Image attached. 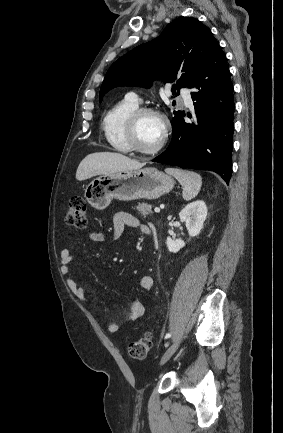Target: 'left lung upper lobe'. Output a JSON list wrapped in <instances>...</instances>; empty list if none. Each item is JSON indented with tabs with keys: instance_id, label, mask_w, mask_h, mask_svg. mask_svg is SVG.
<instances>
[{
	"instance_id": "5c2ea615",
	"label": "left lung upper lobe",
	"mask_w": 283,
	"mask_h": 433,
	"mask_svg": "<svg viewBox=\"0 0 283 433\" xmlns=\"http://www.w3.org/2000/svg\"><path fill=\"white\" fill-rule=\"evenodd\" d=\"M217 43L208 27L192 17L177 19L160 36L128 52L109 68L100 89V101L107 91L121 85L146 88L160 78L177 81L172 92L179 95L210 48ZM177 89V93H176ZM174 111L173 119L180 115Z\"/></svg>"
}]
</instances>
